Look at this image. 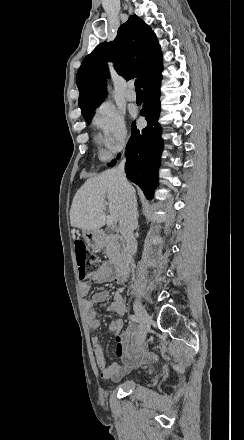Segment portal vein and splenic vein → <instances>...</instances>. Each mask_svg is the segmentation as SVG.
Returning a JSON list of instances; mask_svg holds the SVG:
<instances>
[{"label": "portal vein and splenic vein", "instance_id": "1", "mask_svg": "<svg viewBox=\"0 0 244 440\" xmlns=\"http://www.w3.org/2000/svg\"><path fill=\"white\" fill-rule=\"evenodd\" d=\"M114 222H115V220H114V218H112V216H107V218H106L107 226H113Z\"/></svg>", "mask_w": 244, "mask_h": 440}]
</instances>
